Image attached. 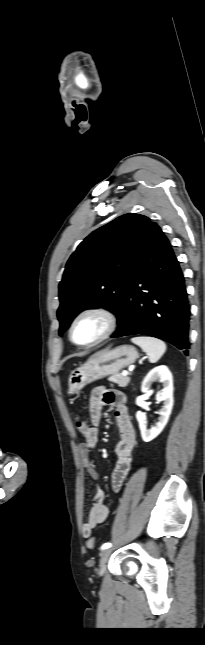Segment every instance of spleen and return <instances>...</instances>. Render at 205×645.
Returning a JSON list of instances; mask_svg holds the SVG:
<instances>
[{
  "label": "spleen",
  "mask_w": 205,
  "mask_h": 645,
  "mask_svg": "<svg viewBox=\"0 0 205 645\" xmlns=\"http://www.w3.org/2000/svg\"><path fill=\"white\" fill-rule=\"evenodd\" d=\"M131 341L146 352L151 363L157 362L166 351V344L157 338L139 336L133 337Z\"/></svg>",
  "instance_id": "1"
}]
</instances>
